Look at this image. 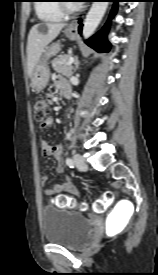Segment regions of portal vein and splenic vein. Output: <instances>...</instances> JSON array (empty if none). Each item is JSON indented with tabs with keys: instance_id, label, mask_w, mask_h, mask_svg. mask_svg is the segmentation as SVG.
<instances>
[{
	"instance_id": "1",
	"label": "portal vein and splenic vein",
	"mask_w": 158,
	"mask_h": 275,
	"mask_svg": "<svg viewBox=\"0 0 158 275\" xmlns=\"http://www.w3.org/2000/svg\"><path fill=\"white\" fill-rule=\"evenodd\" d=\"M73 62H74V58H73V57H70V58H69V61H68V64L71 65Z\"/></svg>"
}]
</instances>
